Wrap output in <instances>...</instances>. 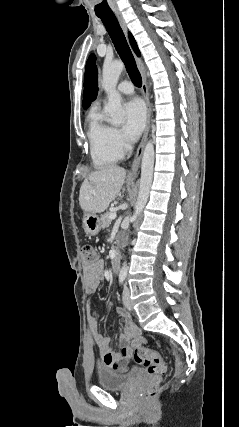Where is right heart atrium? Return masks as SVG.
Segmentation results:
<instances>
[{
    "mask_svg": "<svg viewBox=\"0 0 239 427\" xmlns=\"http://www.w3.org/2000/svg\"><path fill=\"white\" fill-rule=\"evenodd\" d=\"M113 140L116 147L121 151H125L128 148V143L122 132L116 128H113Z\"/></svg>",
    "mask_w": 239,
    "mask_h": 427,
    "instance_id": "d8ad5b80",
    "label": "right heart atrium"
}]
</instances>
